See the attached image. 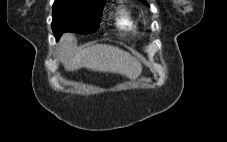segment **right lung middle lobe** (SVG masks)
Returning <instances> with one entry per match:
<instances>
[{
    "instance_id": "1",
    "label": "right lung middle lobe",
    "mask_w": 227,
    "mask_h": 142,
    "mask_svg": "<svg viewBox=\"0 0 227 142\" xmlns=\"http://www.w3.org/2000/svg\"><path fill=\"white\" fill-rule=\"evenodd\" d=\"M104 3L56 0L52 6V29L58 39L64 32L89 34L98 30Z\"/></svg>"
}]
</instances>
